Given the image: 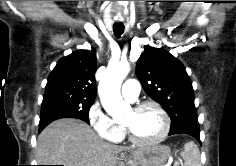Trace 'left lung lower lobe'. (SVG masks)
<instances>
[{"label":"left lung lower lobe","instance_id":"1","mask_svg":"<svg viewBox=\"0 0 236 166\" xmlns=\"http://www.w3.org/2000/svg\"><path fill=\"white\" fill-rule=\"evenodd\" d=\"M199 130L200 126L198 123V118L197 116H193L186 120L171 124L169 135L189 134L200 142Z\"/></svg>","mask_w":236,"mask_h":166}]
</instances>
